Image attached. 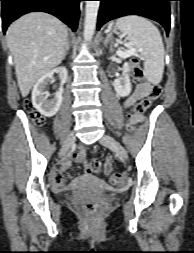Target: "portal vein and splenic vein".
Wrapping results in <instances>:
<instances>
[{"mask_svg": "<svg viewBox=\"0 0 194 253\" xmlns=\"http://www.w3.org/2000/svg\"><path fill=\"white\" fill-rule=\"evenodd\" d=\"M138 51L135 48L130 47L127 51H117V55H119L120 57H128L131 55H136Z\"/></svg>", "mask_w": 194, "mask_h": 253, "instance_id": "18ae733b", "label": "portal vein and splenic vein"}]
</instances>
